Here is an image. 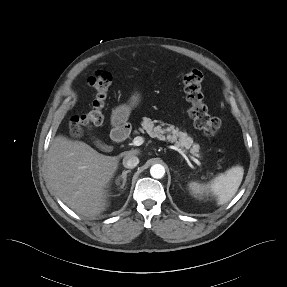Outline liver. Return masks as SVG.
<instances>
[{"label": "liver", "mask_w": 287, "mask_h": 287, "mask_svg": "<svg viewBox=\"0 0 287 287\" xmlns=\"http://www.w3.org/2000/svg\"><path fill=\"white\" fill-rule=\"evenodd\" d=\"M119 156L98 153L82 141L63 136L53 139L46 160L48 185L54 195L79 215L94 219L105 210L109 181L118 168Z\"/></svg>", "instance_id": "6515ba94"}]
</instances>
